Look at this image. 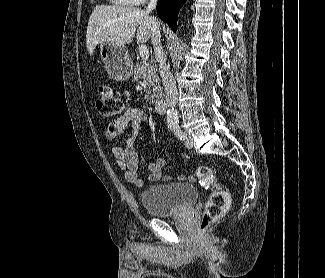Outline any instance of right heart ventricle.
I'll list each match as a JSON object with an SVG mask.
<instances>
[{"instance_id":"e07e8e85","label":"right heart ventricle","mask_w":325,"mask_h":278,"mask_svg":"<svg viewBox=\"0 0 325 278\" xmlns=\"http://www.w3.org/2000/svg\"><path fill=\"white\" fill-rule=\"evenodd\" d=\"M110 1L122 6L134 5L132 0H110Z\"/></svg>"}]
</instances>
